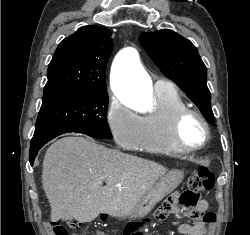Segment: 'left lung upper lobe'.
<instances>
[{
	"instance_id": "left-lung-upper-lobe-1",
	"label": "left lung upper lobe",
	"mask_w": 250,
	"mask_h": 235,
	"mask_svg": "<svg viewBox=\"0 0 250 235\" xmlns=\"http://www.w3.org/2000/svg\"><path fill=\"white\" fill-rule=\"evenodd\" d=\"M139 41L160 70L172 79L214 123L207 70L191 41L169 29L142 33Z\"/></svg>"
}]
</instances>
